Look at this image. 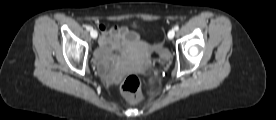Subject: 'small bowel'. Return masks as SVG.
Listing matches in <instances>:
<instances>
[{
	"mask_svg": "<svg viewBox=\"0 0 276 120\" xmlns=\"http://www.w3.org/2000/svg\"><path fill=\"white\" fill-rule=\"evenodd\" d=\"M98 28L101 32L99 38L100 50L96 60L98 71L108 77L107 53L111 50L121 49L134 44L138 40V35L128 27H112L107 29L105 24L100 23Z\"/></svg>",
	"mask_w": 276,
	"mask_h": 120,
	"instance_id": "obj_1",
	"label": "small bowel"
}]
</instances>
